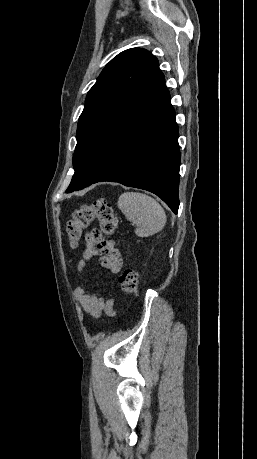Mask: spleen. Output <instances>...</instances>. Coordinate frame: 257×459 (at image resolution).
I'll return each instance as SVG.
<instances>
[{"mask_svg":"<svg viewBox=\"0 0 257 459\" xmlns=\"http://www.w3.org/2000/svg\"><path fill=\"white\" fill-rule=\"evenodd\" d=\"M118 208L127 220L136 225L139 237L151 236L163 229L166 214L162 206L152 197L140 192H124L119 196Z\"/></svg>","mask_w":257,"mask_h":459,"instance_id":"obj_1","label":"spleen"}]
</instances>
